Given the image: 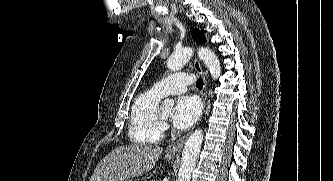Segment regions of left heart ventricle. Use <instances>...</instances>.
Here are the masks:
<instances>
[{
    "label": "left heart ventricle",
    "instance_id": "1",
    "mask_svg": "<svg viewBox=\"0 0 333 181\" xmlns=\"http://www.w3.org/2000/svg\"><path fill=\"white\" fill-rule=\"evenodd\" d=\"M171 113H172L171 108H165V109L160 110V115L164 119H168L170 117Z\"/></svg>",
    "mask_w": 333,
    "mask_h": 181
}]
</instances>
